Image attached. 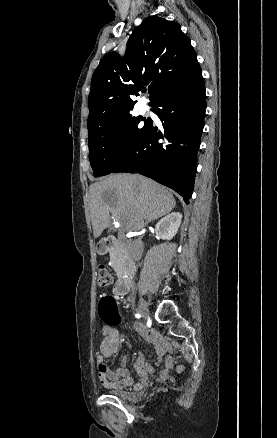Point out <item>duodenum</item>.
Segmentation results:
<instances>
[{"mask_svg":"<svg viewBox=\"0 0 277 438\" xmlns=\"http://www.w3.org/2000/svg\"><path fill=\"white\" fill-rule=\"evenodd\" d=\"M97 248H98L99 253L104 254V253H107L111 250L117 249L118 243L113 238H106V239L101 240L98 243ZM134 272H135V264H134L133 260H128L126 267H125V270H124V273L118 279V281L115 285L116 294L123 296L129 292V290L131 288Z\"/></svg>","mask_w":277,"mask_h":438,"instance_id":"duodenum-1","label":"duodenum"}]
</instances>
